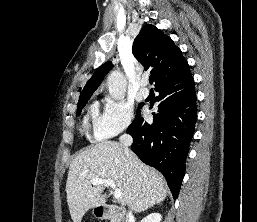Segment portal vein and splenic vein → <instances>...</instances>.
Wrapping results in <instances>:
<instances>
[{
	"label": "portal vein and splenic vein",
	"mask_w": 257,
	"mask_h": 222,
	"mask_svg": "<svg viewBox=\"0 0 257 222\" xmlns=\"http://www.w3.org/2000/svg\"><path fill=\"white\" fill-rule=\"evenodd\" d=\"M90 182L92 185L105 184L106 186H109L114 189V198L115 199L122 198V192H121V190L116 188V185L113 180L101 179V178L95 177V178H92Z\"/></svg>",
	"instance_id": "portal-vein-and-splenic-vein-1"
}]
</instances>
